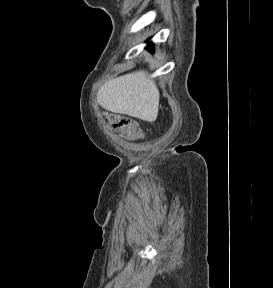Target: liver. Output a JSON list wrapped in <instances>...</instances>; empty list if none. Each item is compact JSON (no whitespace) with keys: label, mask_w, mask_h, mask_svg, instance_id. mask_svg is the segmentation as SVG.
<instances>
[{"label":"liver","mask_w":273,"mask_h":288,"mask_svg":"<svg viewBox=\"0 0 273 288\" xmlns=\"http://www.w3.org/2000/svg\"><path fill=\"white\" fill-rule=\"evenodd\" d=\"M159 90L144 70L106 82L97 93L99 105L110 112L128 115L147 122L158 116Z\"/></svg>","instance_id":"obj_1"}]
</instances>
